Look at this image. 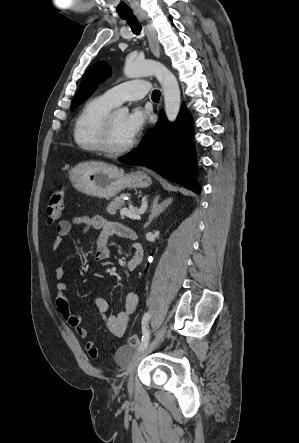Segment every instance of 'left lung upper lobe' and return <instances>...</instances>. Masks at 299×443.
Masks as SVG:
<instances>
[{
	"label": "left lung upper lobe",
	"instance_id": "5c2ea615",
	"mask_svg": "<svg viewBox=\"0 0 299 443\" xmlns=\"http://www.w3.org/2000/svg\"><path fill=\"white\" fill-rule=\"evenodd\" d=\"M108 75L107 66L100 62L86 71L84 74L80 89L74 96L71 107L75 108L85 99H87L96 89L98 83H101Z\"/></svg>",
	"mask_w": 299,
	"mask_h": 443
}]
</instances>
